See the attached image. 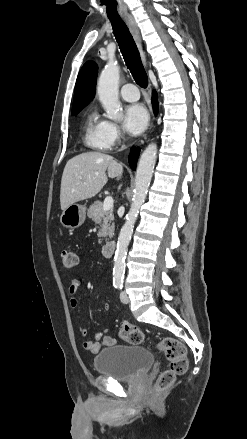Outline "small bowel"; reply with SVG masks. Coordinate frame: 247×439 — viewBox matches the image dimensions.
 Segmentation results:
<instances>
[{"instance_id": "c3829d8e", "label": "small bowel", "mask_w": 247, "mask_h": 439, "mask_svg": "<svg viewBox=\"0 0 247 439\" xmlns=\"http://www.w3.org/2000/svg\"><path fill=\"white\" fill-rule=\"evenodd\" d=\"M82 286H83V281L79 278H75L71 281V284L69 286V295H70L69 303L72 308H76L78 305V300L76 299L75 295L79 292ZM109 309H110L109 305L105 304L104 310L109 311ZM107 332L108 329H103L97 332L95 335L96 341L93 340L84 341L83 348L92 353H97L102 347L114 345L116 343V339L114 337L106 335ZM87 334H88L87 329L82 327L80 329V335L82 337H86Z\"/></svg>"}]
</instances>
